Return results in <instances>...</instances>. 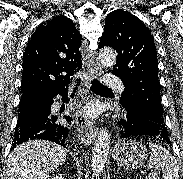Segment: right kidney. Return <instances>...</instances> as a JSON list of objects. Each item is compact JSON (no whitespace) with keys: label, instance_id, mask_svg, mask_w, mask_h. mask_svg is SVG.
I'll list each match as a JSON object with an SVG mask.
<instances>
[{"label":"right kidney","instance_id":"1","mask_svg":"<svg viewBox=\"0 0 183 179\" xmlns=\"http://www.w3.org/2000/svg\"><path fill=\"white\" fill-rule=\"evenodd\" d=\"M50 179H64V178L61 175H59V176H54V177H52Z\"/></svg>","mask_w":183,"mask_h":179}]
</instances>
